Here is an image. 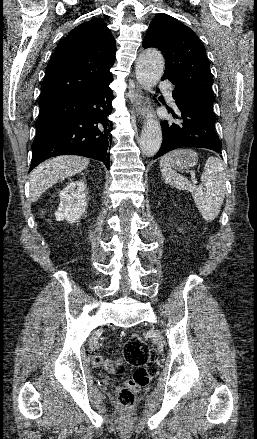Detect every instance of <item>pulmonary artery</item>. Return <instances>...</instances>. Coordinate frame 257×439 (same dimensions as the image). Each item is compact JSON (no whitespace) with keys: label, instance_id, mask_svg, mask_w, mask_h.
<instances>
[{"label":"pulmonary artery","instance_id":"e3ab8cb5","mask_svg":"<svg viewBox=\"0 0 257 439\" xmlns=\"http://www.w3.org/2000/svg\"><path fill=\"white\" fill-rule=\"evenodd\" d=\"M159 89L164 93L166 99L173 103V88L172 86L167 83L166 81H160L158 83Z\"/></svg>","mask_w":257,"mask_h":439}]
</instances>
